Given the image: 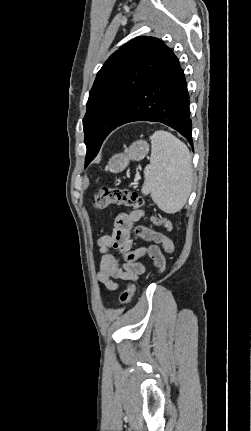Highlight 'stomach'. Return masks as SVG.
I'll use <instances>...</instances> for the list:
<instances>
[{"mask_svg": "<svg viewBox=\"0 0 251 431\" xmlns=\"http://www.w3.org/2000/svg\"><path fill=\"white\" fill-rule=\"evenodd\" d=\"M149 151L146 141L139 140L134 142L126 153L114 155L108 162L106 170L118 173L124 170L131 160L139 161L143 159Z\"/></svg>", "mask_w": 251, "mask_h": 431, "instance_id": "1", "label": "stomach"}]
</instances>
